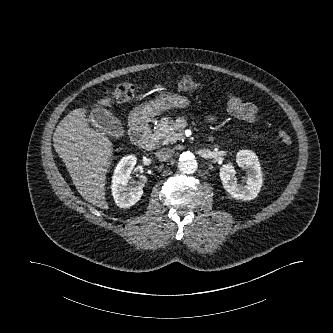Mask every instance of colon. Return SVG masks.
<instances>
[{"label": "colon", "mask_w": 333, "mask_h": 333, "mask_svg": "<svg viewBox=\"0 0 333 333\" xmlns=\"http://www.w3.org/2000/svg\"><path fill=\"white\" fill-rule=\"evenodd\" d=\"M199 86V82L190 77V76H184L182 77L175 85L174 87L178 90L182 91H192L197 89ZM136 92V86L132 83H122L118 85L115 89L110 90L107 92V95L114 101L123 102L130 100L134 97ZM78 118V114H73L71 117V121ZM277 139L280 143H282L285 146H290L292 144V138L286 131L280 130L277 133Z\"/></svg>", "instance_id": "5ec220e1"}]
</instances>
